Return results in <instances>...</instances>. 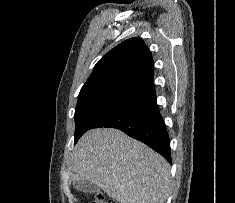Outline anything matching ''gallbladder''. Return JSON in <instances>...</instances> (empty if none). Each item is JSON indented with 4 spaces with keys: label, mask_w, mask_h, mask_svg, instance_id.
Masks as SVG:
<instances>
[{
    "label": "gallbladder",
    "mask_w": 235,
    "mask_h": 203,
    "mask_svg": "<svg viewBox=\"0 0 235 203\" xmlns=\"http://www.w3.org/2000/svg\"><path fill=\"white\" fill-rule=\"evenodd\" d=\"M74 186L77 190L87 193H95L99 190L96 185L82 181H74Z\"/></svg>",
    "instance_id": "obj_1"
}]
</instances>
